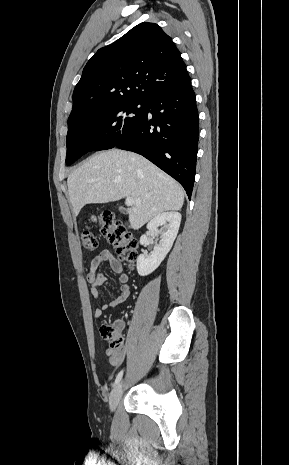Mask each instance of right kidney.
Here are the masks:
<instances>
[{
	"label": "right kidney",
	"mask_w": 289,
	"mask_h": 465,
	"mask_svg": "<svg viewBox=\"0 0 289 465\" xmlns=\"http://www.w3.org/2000/svg\"><path fill=\"white\" fill-rule=\"evenodd\" d=\"M180 222L181 214L178 212L159 213L148 222L147 229L149 232L141 236V245L147 246L149 244L148 235L150 233L156 234L158 232V227H161L163 232L160 235L159 243L149 255L140 254L138 256L137 271L140 276L151 274L164 260L177 236Z\"/></svg>",
	"instance_id": "1"
}]
</instances>
